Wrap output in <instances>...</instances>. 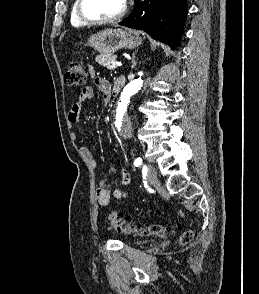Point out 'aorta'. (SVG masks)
Masks as SVG:
<instances>
[{
    "instance_id": "1",
    "label": "aorta",
    "mask_w": 259,
    "mask_h": 294,
    "mask_svg": "<svg viewBox=\"0 0 259 294\" xmlns=\"http://www.w3.org/2000/svg\"><path fill=\"white\" fill-rule=\"evenodd\" d=\"M143 81L135 79L131 81L121 92L114 112L115 134L119 137H130L132 135V123L126 110L131 96L135 95L142 87Z\"/></svg>"
}]
</instances>
